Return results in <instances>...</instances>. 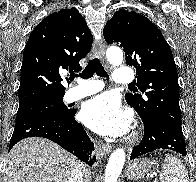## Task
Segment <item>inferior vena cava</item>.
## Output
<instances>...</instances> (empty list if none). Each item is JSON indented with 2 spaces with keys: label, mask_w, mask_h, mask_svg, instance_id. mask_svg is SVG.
I'll return each mask as SVG.
<instances>
[{
  "label": "inferior vena cava",
  "mask_w": 196,
  "mask_h": 182,
  "mask_svg": "<svg viewBox=\"0 0 196 182\" xmlns=\"http://www.w3.org/2000/svg\"><path fill=\"white\" fill-rule=\"evenodd\" d=\"M69 182H83L82 165L78 163L71 171Z\"/></svg>",
  "instance_id": "obj_1"
}]
</instances>
